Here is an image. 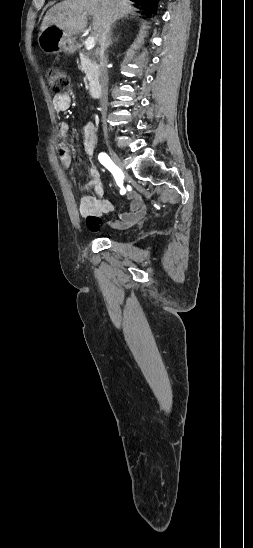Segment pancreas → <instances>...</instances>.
Instances as JSON below:
<instances>
[{"label":"pancreas","mask_w":253,"mask_h":548,"mask_svg":"<svg viewBox=\"0 0 253 548\" xmlns=\"http://www.w3.org/2000/svg\"><path fill=\"white\" fill-rule=\"evenodd\" d=\"M78 67L86 74L89 80V88H94L98 84L99 78V67L96 60L89 54H80V64Z\"/></svg>","instance_id":"obj_1"}]
</instances>
